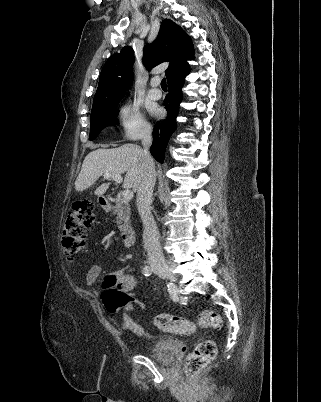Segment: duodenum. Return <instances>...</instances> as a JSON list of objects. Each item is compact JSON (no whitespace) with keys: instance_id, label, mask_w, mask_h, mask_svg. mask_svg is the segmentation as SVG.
<instances>
[{"instance_id":"1","label":"duodenum","mask_w":321,"mask_h":402,"mask_svg":"<svg viewBox=\"0 0 321 402\" xmlns=\"http://www.w3.org/2000/svg\"><path fill=\"white\" fill-rule=\"evenodd\" d=\"M99 204L105 209V210H111L113 205L112 202L105 197H100L99 198ZM119 233H120V238L121 241L125 246H132L135 242V237L136 233L135 230L127 224H122L119 226Z\"/></svg>"}]
</instances>
